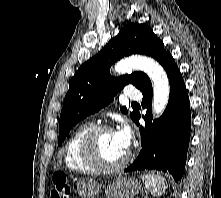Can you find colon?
Wrapping results in <instances>:
<instances>
[{"label": "colon", "instance_id": "colon-1", "mask_svg": "<svg viewBox=\"0 0 221 198\" xmlns=\"http://www.w3.org/2000/svg\"><path fill=\"white\" fill-rule=\"evenodd\" d=\"M51 198H71V188L63 173H56L53 176Z\"/></svg>", "mask_w": 221, "mask_h": 198}]
</instances>
